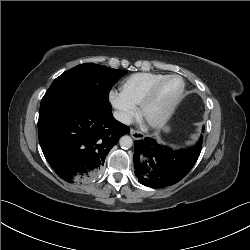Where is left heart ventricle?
<instances>
[{"instance_id": "1", "label": "left heart ventricle", "mask_w": 250, "mask_h": 250, "mask_svg": "<svg viewBox=\"0 0 250 250\" xmlns=\"http://www.w3.org/2000/svg\"><path fill=\"white\" fill-rule=\"evenodd\" d=\"M182 87L179 79H170L166 81L157 92V95L147 110V116L150 119L159 117L169 106L172 100L177 96Z\"/></svg>"}]
</instances>
